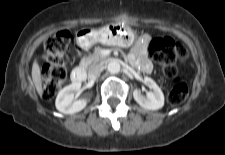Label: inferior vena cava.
<instances>
[{"label":"inferior vena cava","mask_w":225,"mask_h":155,"mask_svg":"<svg viewBox=\"0 0 225 155\" xmlns=\"http://www.w3.org/2000/svg\"><path fill=\"white\" fill-rule=\"evenodd\" d=\"M103 70V64H97L92 66L88 71V77L90 79H95Z\"/></svg>","instance_id":"inferior-vena-cava-1"}]
</instances>
